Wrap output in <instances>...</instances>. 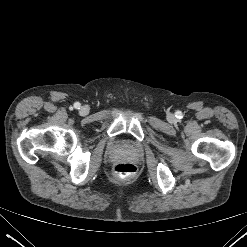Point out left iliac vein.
<instances>
[{"mask_svg":"<svg viewBox=\"0 0 247 247\" xmlns=\"http://www.w3.org/2000/svg\"><path fill=\"white\" fill-rule=\"evenodd\" d=\"M168 119H169L170 121H173V120H174V116H173L172 114H169V115H168Z\"/></svg>","mask_w":247,"mask_h":247,"instance_id":"4c4485c4","label":"left iliac vein"}]
</instances>
